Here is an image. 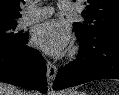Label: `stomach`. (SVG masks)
Instances as JSON below:
<instances>
[{
    "mask_svg": "<svg viewBox=\"0 0 119 95\" xmlns=\"http://www.w3.org/2000/svg\"><path fill=\"white\" fill-rule=\"evenodd\" d=\"M68 95H86V93L74 91V92H70Z\"/></svg>",
    "mask_w": 119,
    "mask_h": 95,
    "instance_id": "obj_1",
    "label": "stomach"
}]
</instances>
